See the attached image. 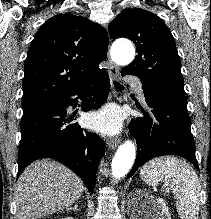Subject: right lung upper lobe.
I'll return each instance as SVG.
<instances>
[{
  "instance_id": "1",
  "label": "right lung upper lobe",
  "mask_w": 211,
  "mask_h": 219,
  "mask_svg": "<svg viewBox=\"0 0 211 219\" xmlns=\"http://www.w3.org/2000/svg\"><path fill=\"white\" fill-rule=\"evenodd\" d=\"M107 49L108 34L99 24L70 13L51 17L27 54L22 105L48 103L99 75Z\"/></svg>"
}]
</instances>
